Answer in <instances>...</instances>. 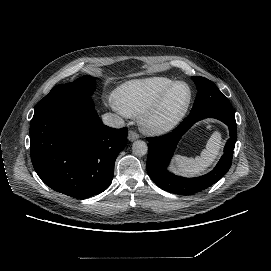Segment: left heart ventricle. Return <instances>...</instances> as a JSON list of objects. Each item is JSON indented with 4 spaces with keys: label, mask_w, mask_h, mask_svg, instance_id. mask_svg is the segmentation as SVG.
<instances>
[{
    "label": "left heart ventricle",
    "mask_w": 271,
    "mask_h": 271,
    "mask_svg": "<svg viewBox=\"0 0 271 271\" xmlns=\"http://www.w3.org/2000/svg\"><path fill=\"white\" fill-rule=\"evenodd\" d=\"M190 89L186 84L177 85L172 91L164 109L159 114L160 120H167L177 114L187 103Z\"/></svg>",
    "instance_id": "obj_1"
}]
</instances>
